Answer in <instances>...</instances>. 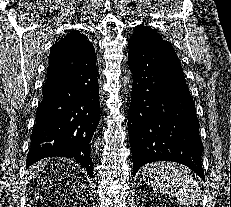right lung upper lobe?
Here are the masks:
<instances>
[{"label":"right lung upper lobe","mask_w":231,"mask_h":207,"mask_svg":"<svg viewBox=\"0 0 231 207\" xmlns=\"http://www.w3.org/2000/svg\"><path fill=\"white\" fill-rule=\"evenodd\" d=\"M94 55L95 51L91 42L78 31H72L52 46L49 67L58 70L76 69Z\"/></svg>","instance_id":"1"}]
</instances>
